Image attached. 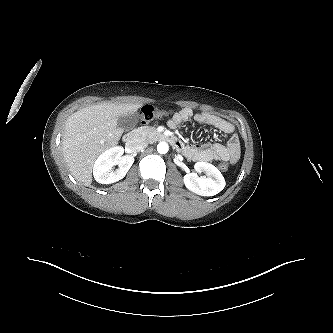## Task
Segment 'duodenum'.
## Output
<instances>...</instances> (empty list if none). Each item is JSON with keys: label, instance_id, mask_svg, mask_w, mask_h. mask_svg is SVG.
<instances>
[{"label": "duodenum", "instance_id": "410a0bca", "mask_svg": "<svg viewBox=\"0 0 333 333\" xmlns=\"http://www.w3.org/2000/svg\"><path fill=\"white\" fill-rule=\"evenodd\" d=\"M165 139L175 148L182 149L183 144L182 142L174 136L167 135ZM124 141L126 147L130 150L134 149L137 144V133L135 131H131L125 134Z\"/></svg>", "mask_w": 333, "mask_h": 333}]
</instances>
